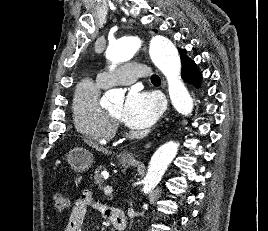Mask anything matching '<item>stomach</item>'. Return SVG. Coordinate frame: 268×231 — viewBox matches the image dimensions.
Instances as JSON below:
<instances>
[{
  "label": "stomach",
  "mask_w": 268,
  "mask_h": 231,
  "mask_svg": "<svg viewBox=\"0 0 268 231\" xmlns=\"http://www.w3.org/2000/svg\"><path fill=\"white\" fill-rule=\"evenodd\" d=\"M66 160L74 171L85 172L92 166L94 158L88 150L76 147L67 153ZM121 164L127 168L132 165V162L122 161Z\"/></svg>",
  "instance_id": "stomach-1"
}]
</instances>
